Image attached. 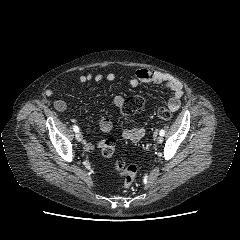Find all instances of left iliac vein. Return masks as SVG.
<instances>
[{"instance_id":"left-iliac-vein-1","label":"left iliac vein","mask_w":240,"mask_h":240,"mask_svg":"<svg viewBox=\"0 0 240 240\" xmlns=\"http://www.w3.org/2000/svg\"><path fill=\"white\" fill-rule=\"evenodd\" d=\"M157 142H158V143H162V142H163V138H162L161 136H159V137L157 138Z\"/></svg>"}]
</instances>
